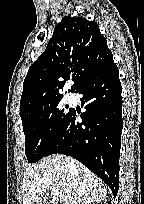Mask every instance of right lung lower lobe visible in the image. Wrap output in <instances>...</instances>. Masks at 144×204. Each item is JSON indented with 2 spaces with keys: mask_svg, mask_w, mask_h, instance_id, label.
Returning <instances> with one entry per match:
<instances>
[{
  "mask_svg": "<svg viewBox=\"0 0 144 204\" xmlns=\"http://www.w3.org/2000/svg\"><path fill=\"white\" fill-rule=\"evenodd\" d=\"M121 83L116 64L111 60L88 78L76 93L82 94L86 111L72 110L57 138L45 156L60 153L70 155L99 176L116 196L119 184L121 148L122 99Z\"/></svg>",
  "mask_w": 144,
  "mask_h": 204,
  "instance_id": "obj_1",
  "label": "right lung lower lobe"
}]
</instances>
